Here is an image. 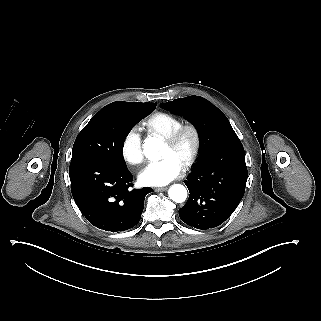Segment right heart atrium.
I'll list each match as a JSON object with an SVG mask.
<instances>
[{
	"label": "right heart atrium",
	"mask_w": 321,
	"mask_h": 321,
	"mask_svg": "<svg viewBox=\"0 0 321 321\" xmlns=\"http://www.w3.org/2000/svg\"><path fill=\"white\" fill-rule=\"evenodd\" d=\"M121 156L129 164H138L144 159L142 133L139 126H133L124 134L120 145Z\"/></svg>",
	"instance_id": "1"
}]
</instances>
